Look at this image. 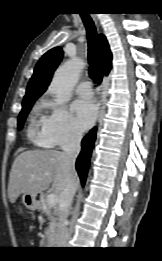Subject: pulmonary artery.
I'll list each match as a JSON object with an SVG mask.
<instances>
[{
  "instance_id": "pulmonary-artery-1",
  "label": "pulmonary artery",
  "mask_w": 162,
  "mask_h": 261,
  "mask_svg": "<svg viewBox=\"0 0 162 261\" xmlns=\"http://www.w3.org/2000/svg\"><path fill=\"white\" fill-rule=\"evenodd\" d=\"M76 92L79 96L83 98H90L93 96L92 85L89 81H83L79 83L76 88Z\"/></svg>"
}]
</instances>
